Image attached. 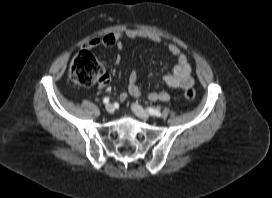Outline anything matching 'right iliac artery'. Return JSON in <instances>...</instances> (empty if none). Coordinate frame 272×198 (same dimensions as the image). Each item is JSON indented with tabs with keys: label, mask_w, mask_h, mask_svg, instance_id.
Returning a JSON list of instances; mask_svg holds the SVG:
<instances>
[{
	"label": "right iliac artery",
	"mask_w": 272,
	"mask_h": 198,
	"mask_svg": "<svg viewBox=\"0 0 272 198\" xmlns=\"http://www.w3.org/2000/svg\"><path fill=\"white\" fill-rule=\"evenodd\" d=\"M103 103H104V104H108V103H109V98H108V97H105V98L103 99Z\"/></svg>",
	"instance_id": "right-iliac-artery-1"
}]
</instances>
